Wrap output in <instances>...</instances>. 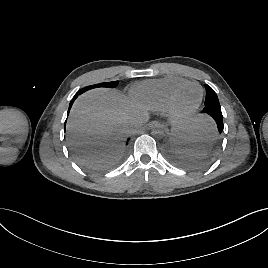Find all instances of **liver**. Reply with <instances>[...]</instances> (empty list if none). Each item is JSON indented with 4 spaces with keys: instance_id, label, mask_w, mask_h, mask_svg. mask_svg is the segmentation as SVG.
<instances>
[{
    "instance_id": "1",
    "label": "liver",
    "mask_w": 268,
    "mask_h": 268,
    "mask_svg": "<svg viewBox=\"0 0 268 268\" xmlns=\"http://www.w3.org/2000/svg\"><path fill=\"white\" fill-rule=\"evenodd\" d=\"M147 113L116 90L100 88L85 92L72 106L67 122V139L73 148L97 162L112 160L132 128ZM195 118L189 126L201 122Z\"/></svg>"
}]
</instances>
